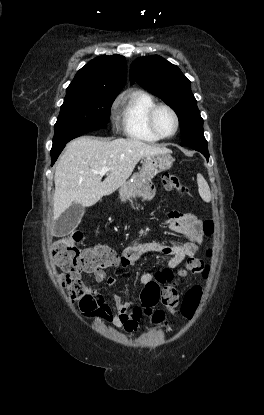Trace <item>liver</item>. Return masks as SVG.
Here are the masks:
<instances>
[{
    "instance_id": "6515ba94",
    "label": "liver",
    "mask_w": 264,
    "mask_h": 415,
    "mask_svg": "<svg viewBox=\"0 0 264 415\" xmlns=\"http://www.w3.org/2000/svg\"><path fill=\"white\" fill-rule=\"evenodd\" d=\"M165 147L150 145L136 139L119 138L106 141L95 137H79L69 142L55 169L53 221L73 203L90 207L103 196L121 187L143 158L169 153ZM111 168L107 177L97 172Z\"/></svg>"
}]
</instances>
